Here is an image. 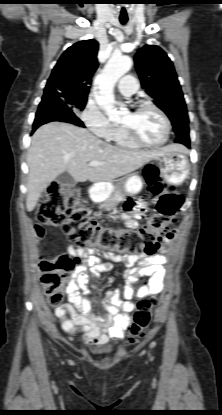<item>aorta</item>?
<instances>
[{"instance_id": "aorta-1", "label": "aorta", "mask_w": 222, "mask_h": 415, "mask_svg": "<svg viewBox=\"0 0 222 415\" xmlns=\"http://www.w3.org/2000/svg\"><path fill=\"white\" fill-rule=\"evenodd\" d=\"M132 64L130 57L114 55L95 78V83L99 87L96 102L110 119L116 118L121 114L115 107L114 86L131 69Z\"/></svg>"}]
</instances>
